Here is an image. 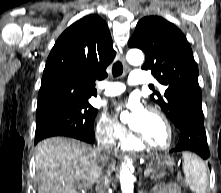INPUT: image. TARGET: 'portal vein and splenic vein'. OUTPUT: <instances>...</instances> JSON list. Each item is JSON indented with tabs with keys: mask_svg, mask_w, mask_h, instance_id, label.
Instances as JSON below:
<instances>
[{
	"mask_svg": "<svg viewBox=\"0 0 221 193\" xmlns=\"http://www.w3.org/2000/svg\"><path fill=\"white\" fill-rule=\"evenodd\" d=\"M144 175L145 176H149L150 175V170L148 168L145 170Z\"/></svg>",
	"mask_w": 221,
	"mask_h": 193,
	"instance_id": "obj_1",
	"label": "portal vein and splenic vein"
}]
</instances>
